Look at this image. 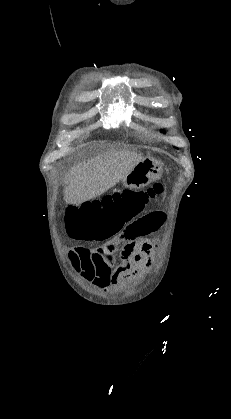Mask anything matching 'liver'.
<instances>
[{
    "label": "liver",
    "mask_w": 231,
    "mask_h": 419,
    "mask_svg": "<svg viewBox=\"0 0 231 419\" xmlns=\"http://www.w3.org/2000/svg\"><path fill=\"white\" fill-rule=\"evenodd\" d=\"M140 154L111 151L72 167L65 175L64 200L79 206L115 186L143 160Z\"/></svg>",
    "instance_id": "6515ba94"
}]
</instances>
